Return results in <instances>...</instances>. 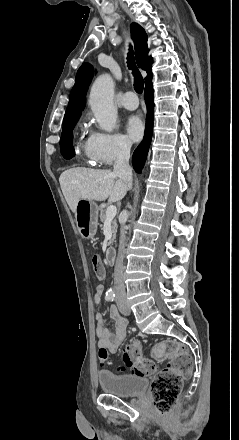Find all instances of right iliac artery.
I'll return each mask as SVG.
<instances>
[{
    "label": "right iliac artery",
    "mask_w": 239,
    "mask_h": 440,
    "mask_svg": "<svg viewBox=\"0 0 239 440\" xmlns=\"http://www.w3.org/2000/svg\"><path fill=\"white\" fill-rule=\"evenodd\" d=\"M105 299H106L107 301H114V299H115V293H114V291H113L112 289H109V290L106 292V297H105Z\"/></svg>",
    "instance_id": "82829eb1"
}]
</instances>
